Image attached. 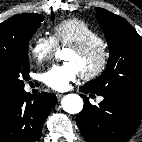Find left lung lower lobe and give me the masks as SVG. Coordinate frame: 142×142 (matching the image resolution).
Wrapping results in <instances>:
<instances>
[{"label":"left lung lower lobe","mask_w":142,"mask_h":142,"mask_svg":"<svg viewBox=\"0 0 142 142\" xmlns=\"http://www.w3.org/2000/svg\"><path fill=\"white\" fill-rule=\"evenodd\" d=\"M82 91L93 93L85 86ZM84 108L77 117L82 136L88 142H126L135 133L142 118V100L128 96L102 95L99 106L85 95Z\"/></svg>","instance_id":"1"}]
</instances>
